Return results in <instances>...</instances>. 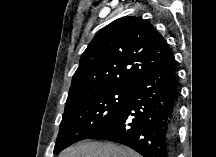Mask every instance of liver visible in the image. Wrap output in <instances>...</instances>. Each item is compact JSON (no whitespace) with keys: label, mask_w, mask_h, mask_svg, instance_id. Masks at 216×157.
I'll use <instances>...</instances> for the list:
<instances>
[{"label":"liver","mask_w":216,"mask_h":157,"mask_svg":"<svg viewBox=\"0 0 216 157\" xmlns=\"http://www.w3.org/2000/svg\"><path fill=\"white\" fill-rule=\"evenodd\" d=\"M60 157H140L132 149L111 142H84L65 149Z\"/></svg>","instance_id":"liver-1"}]
</instances>
